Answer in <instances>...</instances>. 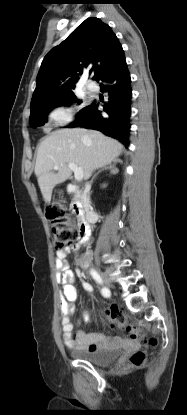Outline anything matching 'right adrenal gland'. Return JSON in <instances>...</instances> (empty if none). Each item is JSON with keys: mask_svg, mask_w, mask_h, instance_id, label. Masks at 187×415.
<instances>
[{"mask_svg": "<svg viewBox=\"0 0 187 415\" xmlns=\"http://www.w3.org/2000/svg\"><path fill=\"white\" fill-rule=\"evenodd\" d=\"M115 164H116V162H114V164H108L107 166H105V167H103L101 170H99L95 175H94V177L92 178V180H91V183H93V181H94V179L97 177V175L101 172V171H103V170H107V169H109L110 171H111V173H114L115 172Z\"/></svg>", "mask_w": 187, "mask_h": 415, "instance_id": "2a0ac1e0", "label": "right adrenal gland"}]
</instances>
